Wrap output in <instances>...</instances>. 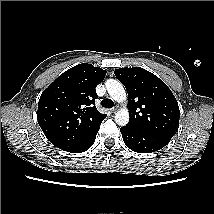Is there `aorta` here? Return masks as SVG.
I'll use <instances>...</instances> for the list:
<instances>
[{"mask_svg": "<svg viewBox=\"0 0 214 214\" xmlns=\"http://www.w3.org/2000/svg\"><path fill=\"white\" fill-rule=\"evenodd\" d=\"M107 91L111 98L119 103L125 102L127 99L126 91L123 85L115 80V79H108L105 82ZM115 122L119 126H125L129 122V112L126 107L119 109L115 114Z\"/></svg>", "mask_w": 214, "mask_h": 214, "instance_id": "obj_1", "label": "aorta"}]
</instances>
